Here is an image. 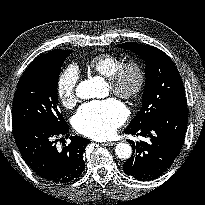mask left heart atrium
Wrapping results in <instances>:
<instances>
[{
	"label": "left heart atrium",
	"mask_w": 205,
	"mask_h": 205,
	"mask_svg": "<svg viewBox=\"0 0 205 205\" xmlns=\"http://www.w3.org/2000/svg\"><path fill=\"white\" fill-rule=\"evenodd\" d=\"M126 118V107L119 100L110 98L82 105L74 117V125L79 133L104 140L114 135Z\"/></svg>",
	"instance_id": "left-heart-atrium-1"
}]
</instances>
